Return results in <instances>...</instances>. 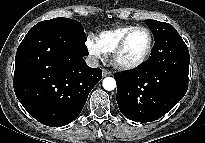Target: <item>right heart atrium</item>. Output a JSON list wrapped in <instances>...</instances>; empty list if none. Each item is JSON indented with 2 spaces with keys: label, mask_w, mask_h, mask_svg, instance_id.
<instances>
[{
  "label": "right heart atrium",
  "mask_w": 205,
  "mask_h": 143,
  "mask_svg": "<svg viewBox=\"0 0 205 143\" xmlns=\"http://www.w3.org/2000/svg\"><path fill=\"white\" fill-rule=\"evenodd\" d=\"M85 45L91 56H93L96 59H101L103 57V52L99 48L94 38L88 37L85 41Z\"/></svg>",
  "instance_id": "1"
}]
</instances>
